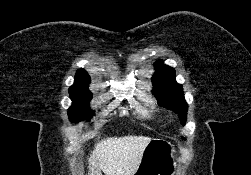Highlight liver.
Here are the masks:
<instances>
[{
    "label": "liver",
    "instance_id": "6515ba94",
    "mask_svg": "<svg viewBox=\"0 0 251 175\" xmlns=\"http://www.w3.org/2000/svg\"><path fill=\"white\" fill-rule=\"evenodd\" d=\"M151 137L124 135L106 137L95 143L88 157V175H134Z\"/></svg>",
    "mask_w": 251,
    "mask_h": 175
}]
</instances>
